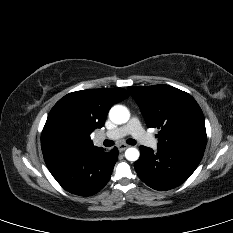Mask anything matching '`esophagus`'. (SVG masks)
<instances>
[{
  "label": "esophagus",
  "instance_id": "1",
  "mask_svg": "<svg viewBox=\"0 0 233 233\" xmlns=\"http://www.w3.org/2000/svg\"><path fill=\"white\" fill-rule=\"evenodd\" d=\"M128 147L129 146L127 144H120V145H118V149H119L120 152L124 151Z\"/></svg>",
  "mask_w": 233,
  "mask_h": 233
}]
</instances>
